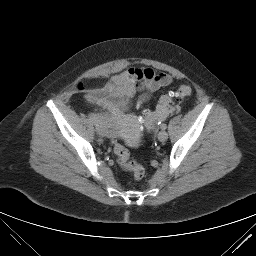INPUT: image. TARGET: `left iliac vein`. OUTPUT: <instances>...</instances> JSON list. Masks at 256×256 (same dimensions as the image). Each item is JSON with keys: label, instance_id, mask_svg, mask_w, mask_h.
<instances>
[{"label": "left iliac vein", "instance_id": "obj_1", "mask_svg": "<svg viewBox=\"0 0 256 256\" xmlns=\"http://www.w3.org/2000/svg\"><path fill=\"white\" fill-rule=\"evenodd\" d=\"M167 138H168V133L165 130H161L158 133V140L159 141L164 142V141L167 140Z\"/></svg>", "mask_w": 256, "mask_h": 256}]
</instances>
